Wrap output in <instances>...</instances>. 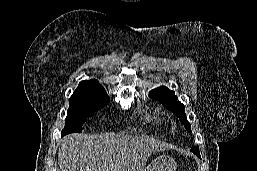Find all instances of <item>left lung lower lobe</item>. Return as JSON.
Instances as JSON below:
<instances>
[{
	"label": "left lung lower lobe",
	"mask_w": 257,
	"mask_h": 171,
	"mask_svg": "<svg viewBox=\"0 0 257 171\" xmlns=\"http://www.w3.org/2000/svg\"><path fill=\"white\" fill-rule=\"evenodd\" d=\"M194 154L197 155L199 158H201V157H200V154H196V153H194Z\"/></svg>",
	"instance_id": "obj_1"
}]
</instances>
